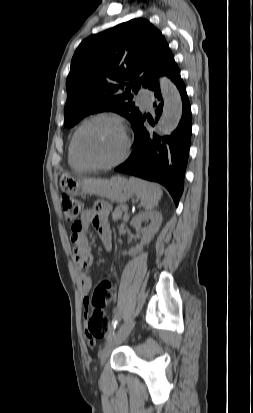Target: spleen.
Masks as SVG:
<instances>
[{
  "mask_svg": "<svg viewBox=\"0 0 253 413\" xmlns=\"http://www.w3.org/2000/svg\"><path fill=\"white\" fill-rule=\"evenodd\" d=\"M129 182L146 210H152L158 205L163 192L157 184L136 177H130Z\"/></svg>",
  "mask_w": 253,
  "mask_h": 413,
  "instance_id": "obj_1",
  "label": "spleen"
}]
</instances>
